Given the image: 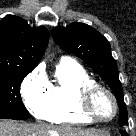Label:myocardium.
Returning a JSON list of instances; mask_svg holds the SVG:
<instances>
[{
	"label": "myocardium",
	"instance_id": "obj_1",
	"mask_svg": "<svg viewBox=\"0 0 136 136\" xmlns=\"http://www.w3.org/2000/svg\"><path fill=\"white\" fill-rule=\"evenodd\" d=\"M99 92L106 93L112 101L113 113L109 118L99 117L93 109V100L96 94ZM79 105L83 114L89 119H91L93 122H100V123L110 122L116 117L118 113V102L114 93L108 87L95 82L84 86L80 90Z\"/></svg>",
	"mask_w": 136,
	"mask_h": 136
}]
</instances>
